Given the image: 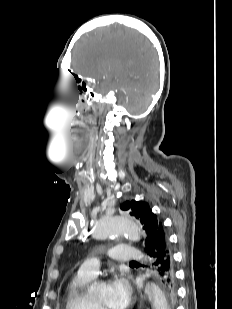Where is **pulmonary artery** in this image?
Returning a JSON list of instances; mask_svg holds the SVG:
<instances>
[{
	"label": "pulmonary artery",
	"mask_w": 232,
	"mask_h": 309,
	"mask_svg": "<svg viewBox=\"0 0 232 309\" xmlns=\"http://www.w3.org/2000/svg\"><path fill=\"white\" fill-rule=\"evenodd\" d=\"M108 254L111 259L122 263L140 259L143 256L140 251L126 245L114 246L109 250ZM99 266L100 261L98 256H93L81 264L78 273L93 278L97 275Z\"/></svg>",
	"instance_id": "1"
}]
</instances>
